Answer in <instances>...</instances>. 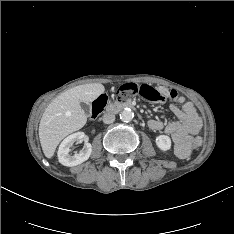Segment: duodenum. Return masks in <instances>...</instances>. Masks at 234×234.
Segmentation results:
<instances>
[{"mask_svg":"<svg viewBox=\"0 0 234 234\" xmlns=\"http://www.w3.org/2000/svg\"><path fill=\"white\" fill-rule=\"evenodd\" d=\"M135 109L136 104L132 101H116L107 107L108 113H118L124 109Z\"/></svg>","mask_w":234,"mask_h":234,"instance_id":"obj_1","label":"duodenum"}]
</instances>
